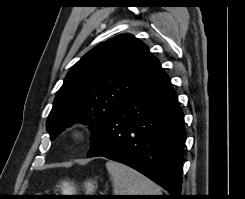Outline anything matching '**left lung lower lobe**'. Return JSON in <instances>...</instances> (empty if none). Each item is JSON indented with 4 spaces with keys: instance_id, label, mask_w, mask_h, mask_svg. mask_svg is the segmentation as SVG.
<instances>
[{
    "instance_id": "left-lung-lower-lobe-1",
    "label": "left lung lower lobe",
    "mask_w": 245,
    "mask_h": 199,
    "mask_svg": "<svg viewBox=\"0 0 245 199\" xmlns=\"http://www.w3.org/2000/svg\"><path fill=\"white\" fill-rule=\"evenodd\" d=\"M186 132L184 115L169 77L160 66L136 95L107 119L87 157L123 163L178 199Z\"/></svg>"
}]
</instances>
